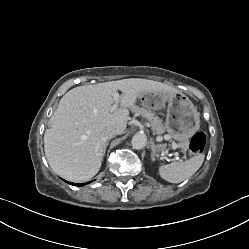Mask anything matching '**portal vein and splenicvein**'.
Wrapping results in <instances>:
<instances>
[{
    "instance_id": "18ae733b",
    "label": "portal vein and splenic vein",
    "mask_w": 249,
    "mask_h": 249,
    "mask_svg": "<svg viewBox=\"0 0 249 249\" xmlns=\"http://www.w3.org/2000/svg\"><path fill=\"white\" fill-rule=\"evenodd\" d=\"M114 100H115V103L114 105L112 106V110H115L117 107H118V102H119V94L118 93H115L114 94ZM177 144L176 143H173L172 144V148L175 150L177 149ZM175 156H178L179 154L177 152L174 153Z\"/></svg>"
}]
</instances>
